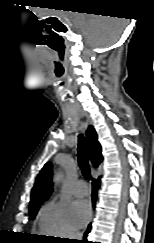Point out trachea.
<instances>
[{
	"label": "trachea",
	"mask_w": 154,
	"mask_h": 243,
	"mask_svg": "<svg viewBox=\"0 0 154 243\" xmlns=\"http://www.w3.org/2000/svg\"><path fill=\"white\" fill-rule=\"evenodd\" d=\"M78 163L84 177L91 180V172L86 154L85 139L82 134L79 135L78 141Z\"/></svg>",
	"instance_id": "3493384b"
}]
</instances>
